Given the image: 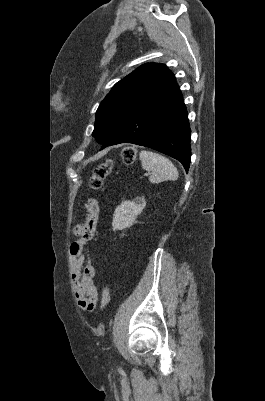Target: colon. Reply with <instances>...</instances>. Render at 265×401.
I'll return each instance as SVG.
<instances>
[{
  "label": "colon",
  "mask_w": 265,
  "mask_h": 401,
  "mask_svg": "<svg viewBox=\"0 0 265 401\" xmlns=\"http://www.w3.org/2000/svg\"><path fill=\"white\" fill-rule=\"evenodd\" d=\"M137 150L134 147H126L122 152V159L125 164L132 163L136 158ZM113 169V160L108 159L99 164L93 171L88 186L92 190L101 188L104 180L109 176ZM110 291L107 285L102 287L101 307L105 309L109 303Z\"/></svg>",
  "instance_id": "5ec220e1"
}]
</instances>
